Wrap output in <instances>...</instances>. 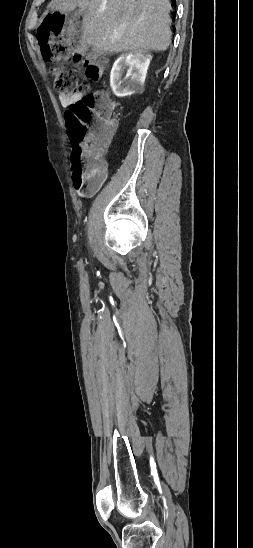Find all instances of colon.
<instances>
[{"instance_id":"colon-1","label":"colon","mask_w":253,"mask_h":548,"mask_svg":"<svg viewBox=\"0 0 253 548\" xmlns=\"http://www.w3.org/2000/svg\"><path fill=\"white\" fill-rule=\"evenodd\" d=\"M43 59L51 62L50 74L54 87L62 94L86 93L88 85L79 82L73 70L63 62L70 59L81 67L87 79L99 78L100 68L91 52L79 43L69 42L65 17L60 12H50L38 29ZM113 103L104 94H85L72 103L66 119L72 142L70 156L74 185L86 186L99 179L105 171L102 155L109 142L113 127Z\"/></svg>"}]
</instances>
